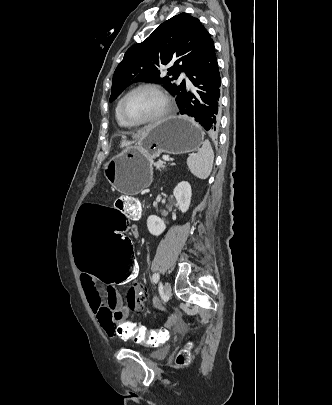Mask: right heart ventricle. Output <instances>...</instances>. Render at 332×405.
Wrapping results in <instances>:
<instances>
[{
  "label": "right heart ventricle",
  "instance_id": "e07e8e85",
  "mask_svg": "<svg viewBox=\"0 0 332 405\" xmlns=\"http://www.w3.org/2000/svg\"><path fill=\"white\" fill-rule=\"evenodd\" d=\"M118 107H119V101L117 102L116 107H115V119H116L117 123H118L119 126H121V127H130L129 124L125 123V122L121 119V117H120V115H119Z\"/></svg>",
  "mask_w": 332,
  "mask_h": 405
}]
</instances>
